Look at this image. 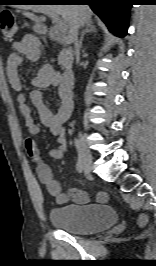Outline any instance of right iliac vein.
Here are the masks:
<instances>
[{
	"instance_id": "63e3f726",
	"label": "right iliac vein",
	"mask_w": 156,
	"mask_h": 266,
	"mask_svg": "<svg viewBox=\"0 0 156 266\" xmlns=\"http://www.w3.org/2000/svg\"><path fill=\"white\" fill-rule=\"evenodd\" d=\"M79 150L80 158L82 160L85 171L89 174L93 168L92 165V155L88 148L86 147L85 140L83 136L79 138Z\"/></svg>"
}]
</instances>
